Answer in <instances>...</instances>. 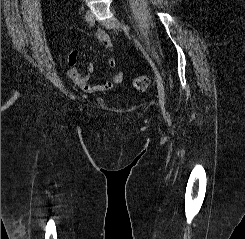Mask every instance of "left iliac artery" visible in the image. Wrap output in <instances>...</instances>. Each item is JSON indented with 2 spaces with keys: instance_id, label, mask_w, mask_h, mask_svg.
Segmentation results:
<instances>
[{
  "instance_id": "left-iliac-artery-1",
  "label": "left iliac artery",
  "mask_w": 245,
  "mask_h": 239,
  "mask_svg": "<svg viewBox=\"0 0 245 239\" xmlns=\"http://www.w3.org/2000/svg\"><path fill=\"white\" fill-rule=\"evenodd\" d=\"M121 24H122V28H123L124 32H125L127 35H130V36L133 38V40H134L136 46L139 47V49H140L141 52L143 53L144 57L148 60V62L150 63L151 67L153 68L154 72L156 73L158 80L163 84L164 81H163V79H162V77H161V75H160L158 69L156 68V66H155V64L153 63V61L150 59V57H149V55L147 54V52L145 51L144 47H143V46L140 44V42L135 38V36H133V35L130 33V28H129V26L126 25V24L124 23L123 20H121Z\"/></svg>"
}]
</instances>
